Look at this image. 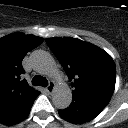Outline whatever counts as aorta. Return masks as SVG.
Returning <instances> with one entry per match:
<instances>
[{
  "label": "aorta",
  "mask_w": 128,
  "mask_h": 128,
  "mask_svg": "<svg viewBox=\"0 0 128 128\" xmlns=\"http://www.w3.org/2000/svg\"><path fill=\"white\" fill-rule=\"evenodd\" d=\"M31 62L34 68L42 74L59 76L54 58L46 51L37 50L31 54ZM53 104L58 109H65L70 106L72 102V92L64 84L57 86L53 97Z\"/></svg>",
  "instance_id": "aorta-1"
}]
</instances>
